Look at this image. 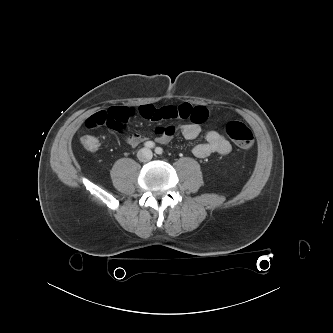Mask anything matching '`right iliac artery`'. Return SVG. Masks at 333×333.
I'll list each match as a JSON object with an SVG mask.
<instances>
[{"label":"right iliac artery","instance_id":"82829eb1","mask_svg":"<svg viewBox=\"0 0 333 333\" xmlns=\"http://www.w3.org/2000/svg\"><path fill=\"white\" fill-rule=\"evenodd\" d=\"M144 146L146 148H154L155 147V143L153 141H147L144 143Z\"/></svg>","mask_w":333,"mask_h":333}]
</instances>
